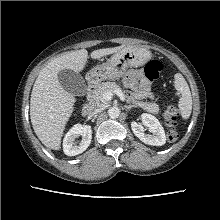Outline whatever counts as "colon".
I'll list each match as a JSON object with an SVG mask.
<instances>
[{
	"instance_id": "obj_1",
	"label": "colon",
	"mask_w": 220,
	"mask_h": 220,
	"mask_svg": "<svg viewBox=\"0 0 220 220\" xmlns=\"http://www.w3.org/2000/svg\"><path fill=\"white\" fill-rule=\"evenodd\" d=\"M162 70L161 63L156 60L149 61L145 66V76L150 81L159 78L160 72ZM178 117V110L175 106L171 105L167 107L164 113L165 125L168 128L167 139L169 142H174L177 139V131L175 129L176 120Z\"/></svg>"
}]
</instances>
